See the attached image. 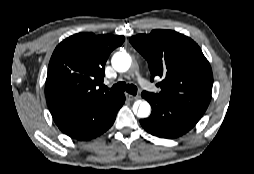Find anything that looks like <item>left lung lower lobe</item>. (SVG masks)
Here are the masks:
<instances>
[{
    "mask_svg": "<svg viewBox=\"0 0 254 174\" xmlns=\"http://www.w3.org/2000/svg\"><path fill=\"white\" fill-rule=\"evenodd\" d=\"M152 106L149 118L140 120L142 127L152 135L174 139L189 132L204 112L187 106L172 104L146 91L142 92Z\"/></svg>",
    "mask_w": 254,
    "mask_h": 174,
    "instance_id": "1",
    "label": "left lung lower lobe"
}]
</instances>
